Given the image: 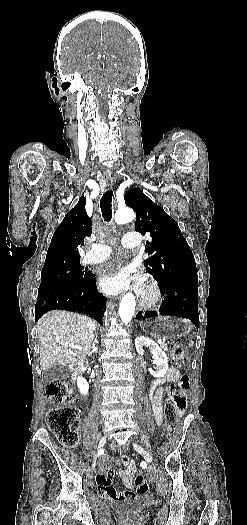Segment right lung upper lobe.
I'll return each instance as SVG.
<instances>
[{
	"label": "right lung upper lobe",
	"instance_id": "obj_1",
	"mask_svg": "<svg viewBox=\"0 0 247 525\" xmlns=\"http://www.w3.org/2000/svg\"><path fill=\"white\" fill-rule=\"evenodd\" d=\"M85 204L86 198L81 197L55 230L42 271L80 263L79 247L92 232L90 218L85 212Z\"/></svg>",
	"mask_w": 247,
	"mask_h": 525
}]
</instances>
